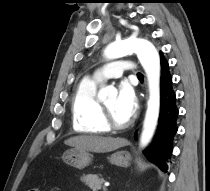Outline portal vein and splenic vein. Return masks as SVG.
I'll return each mask as SVG.
<instances>
[{
	"label": "portal vein and splenic vein",
	"mask_w": 210,
	"mask_h": 191,
	"mask_svg": "<svg viewBox=\"0 0 210 191\" xmlns=\"http://www.w3.org/2000/svg\"><path fill=\"white\" fill-rule=\"evenodd\" d=\"M109 184H106L105 186H108ZM104 189H106L105 187H104Z\"/></svg>",
	"instance_id": "1"
}]
</instances>
